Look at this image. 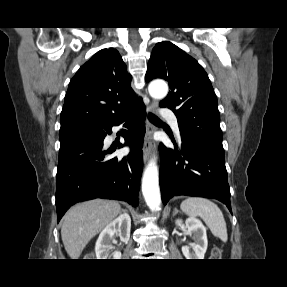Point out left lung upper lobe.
<instances>
[{"label": "left lung upper lobe", "instance_id": "obj_1", "mask_svg": "<svg viewBox=\"0 0 287 287\" xmlns=\"http://www.w3.org/2000/svg\"><path fill=\"white\" fill-rule=\"evenodd\" d=\"M168 81L171 91L160 102L173 110L181 135L223 150L218 101L207 73L191 56L169 41L156 44L145 76Z\"/></svg>", "mask_w": 287, "mask_h": 287}]
</instances>
